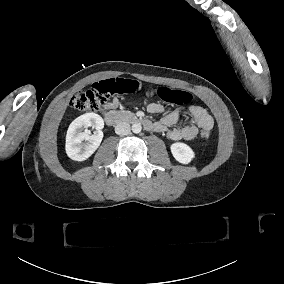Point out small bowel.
I'll return each instance as SVG.
<instances>
[{"label":"small bowel","mask_w":284,"mask_h":284,"mask_svg":"<svg viewBox=\"0 0 284 284\" xmlns=\"http://www.w3.org/2000/svg\"><path fill=\"white\" fill-rule=\"evenodd\" d=\"M119 106L120 101L117 97H113L108 104V108L111 109H116ZM185 110L190 115L189 123L185 126L175 127V124L183 116ZM147 111L151 114H159L164 111V106L160 103H150L147 107ZM150 124L149 130L166 133L169 139L178 141L194 139L199 130L206 129L210 131L214 126V120L204 107L190 105L186 109L177 108L164 118L156 122H150Z\"/></svg>","instance_id":"c3829d8e"}]
</instances>
